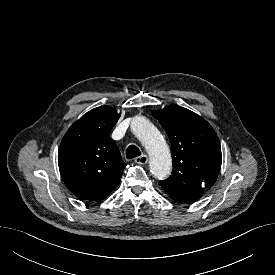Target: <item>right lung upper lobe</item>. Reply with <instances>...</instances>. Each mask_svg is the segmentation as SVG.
<instances>
[{
	"label": "right lung upper lobe",
	"instance_id": "right-lung-upper-lobe-1",
	"mask_svg": "<svg viewBox=\"0 0 275 275\" xmlns=\"http://www.w3.org/2000/svg\"><path fill=\"white\" fill-rule=\"evenodd\" d=\"M119 117L112 107L100 106L84 114L64 135L59 170L76 197L99 201L118 186L126 164L110 131Z\"/></svg>",
	"mask_w": 275,
	"mask_h": 275
}]
</instances>
